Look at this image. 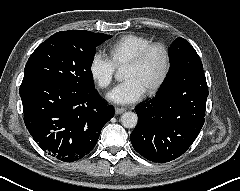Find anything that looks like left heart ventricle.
Segmentation results:
<instances>
[{
	"label": "left heart ventricle",
	"mask_w": 240,
	"mask_h": 191,
	"mask_svg": "<svg viewBox=\"0 0 240 191\" xmlns=\"http://www.w3.org/2000/svg\"><path fill=\"white\" fill-rule=\"evenodd\" d=\"M163 53L159 49L153 50L139 65L126 64L124 78H136L147 90L160 77L163 70Z\"/></svg>",
	"instance_id": "1"
}]
</instances>
